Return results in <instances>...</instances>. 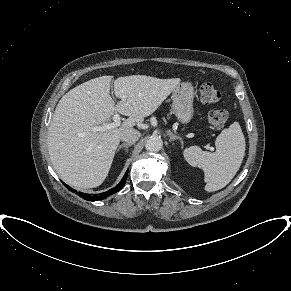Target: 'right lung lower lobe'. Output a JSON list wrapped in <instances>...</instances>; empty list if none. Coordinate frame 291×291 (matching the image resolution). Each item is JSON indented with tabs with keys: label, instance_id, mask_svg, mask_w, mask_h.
Returning a JSON list of instances; mask_svg holds the SVG:
<instances>
[{
	"label": "right lung lower lobe",
	"instance_id": "right-lung-lower-lobe-1",
	"mask_svg": "<svg viewBox=\"0 0 291 291\" xmlns=\"http://www.w3.org/2000/svg\"><path fill=\"white\" fill-rule=\"evenodd\" d=\"M127 174H128V170L125 173V175L123 176V178L120 181V183L116 187H114V188H112V189H110V190H108L106 192H103V193H100V194H94V195H92V194H86V193H82V192H78L77 194L80 195L83 199L89 200V201H97V200L105 199L108 196H110V195H112V194H114V193H116V192H118V191H120L122 189V187L125 185V181L127 179ZM64 185L70 191H72V192H75L76 191V190L70 188L68 185H66V184H64Z\"/></svg>",
	"mask_w": 291,
	"mask_h": 291
}]
</instances>
